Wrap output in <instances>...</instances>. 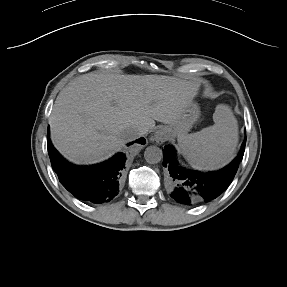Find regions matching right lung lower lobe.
<instances>
[{
    "mask_svg": "<svg viewBox=\"0 0 287 287\" xmlns=\"http://www.w3.org/2000/svg\"><path fill=\"white\" fill-rule=\"evenodd\" d=\"M135 142L145 144L140 138ZM48 153L51 164L62 185L75 197L87 203L109 202L117 194L119 181L125 167V155L118 153L108 161L92 166H76L68 163L57 152L49 139Z\"/></svg>",
    "mask_w": 287,
    "mask_h": 287,
    "instance_id": "obj_1",
    "label": "right lung lower lobe"
}]
</instances>
